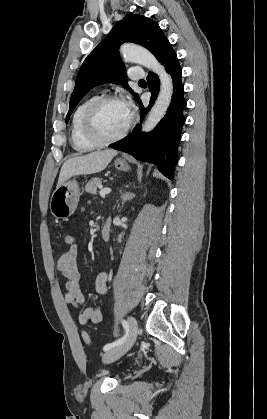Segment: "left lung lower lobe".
I'll list each match as a JSON object with an SVG mask.
<instances>
[{"label": "left lung lower lobe", "instance_id": "obj_1", "mask_svg": "<svg viewBox=\"0 0 267 419\" xmlns=\"http://www.w3.org/2000/svg\"><path fill=\"white\" fill-rule=\"evenodd\" d=\"M158 61L166 67L173 81V96L166 115L151 132L140 133V125H138L130 134L111 147L131 154L138 160L155 164L166 177L172 180L174 168L178 162L177 148L181 140L182 126L185 123L183 111L187 103L183 96L182 69L169 42ZM147 82L152 96L147 109L144 108L140 99L137 100L141 120L154 104L160 87L159 79L153 72L148 73Z\"/></svg>", "mask_w": 267, "mask_h": 419}]
</instances>
